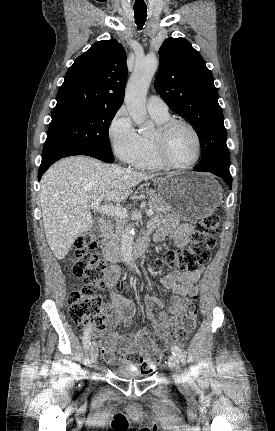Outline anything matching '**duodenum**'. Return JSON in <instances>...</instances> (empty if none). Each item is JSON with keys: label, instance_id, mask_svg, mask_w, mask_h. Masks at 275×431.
Returning a JSON list of instances; mask_svg holds the SVG:
<instances>
[{"label": "duodenum", "instance_id": "410a0bca", "mask_svg": "<svg viewBox=\"0 0 275 431\" xmlns=\"http://www.w3.org/2000/svg\"><path fill=\"white\" fill-rule=\"evenodd\" d=\"M98 226H99V230L103 232L108 228V221L105 219H101L99 221ZM148 246H149V237L147 235L139 238L134 244V249H133L134 256L139 257L142 254H144ZM104 254L106 259L112 263L119 262L123 258L120 251L115 246H112V245H108L105 248Z\"/></svg>", "mask_w": 275, "mask_h": 431}]
</instances>
